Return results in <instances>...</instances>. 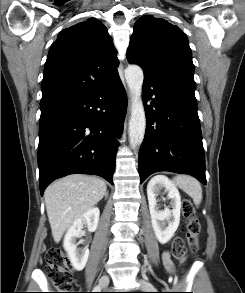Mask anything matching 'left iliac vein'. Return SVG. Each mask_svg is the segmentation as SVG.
<instances>
[{
    "mask_svg": "<svg viewBox=\"0 0 245 293\" xmlns=\"http://www.w3.org/2000/svg\"><path fill=\"white\" fill-rule=\"evenodd\" d=\"M139 283H140V288L143 290H148V289L154 288V286L148 281L140 280Z\"/></svg>",
    "mask_w": 245,
    "mask_h": 293,
    "instance_id": "1",
    "label": "left iliac vein"
}]
</instances>
